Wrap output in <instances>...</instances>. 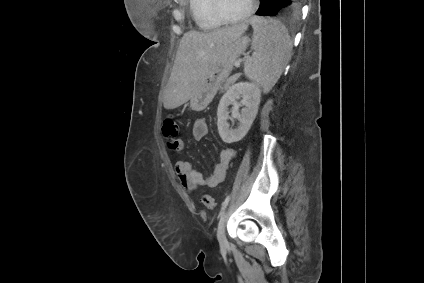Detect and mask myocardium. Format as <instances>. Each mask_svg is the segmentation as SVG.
<instances>
[{
  "label": "myocardium",
  "mask_w": 424,
  "mask_h": 283,
  "mask_svg": "<svg viewBox=\"0 0 424 283\" xmlns=\"http://www.w3.org/2000/svg\"><path fill=\"white\" fill-rule=\"evenodd\" d=\"M220 2L221 0H210L209 7L212 16L222 24H234L246 21L257 8V0H250V6L245 13L238 17H228L223 13Z\"/></svg>",
  "instance_id": "myocardium-1"
}]
</instances>
